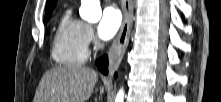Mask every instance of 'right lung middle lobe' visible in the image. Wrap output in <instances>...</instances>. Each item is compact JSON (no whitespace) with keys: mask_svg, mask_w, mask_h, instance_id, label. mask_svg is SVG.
Instances as JSON below:
<instances>
[{"mask_svg":"<svg viewBox=\"0 0 221 102\" xmlns=\"http://www.w3.org/2000/svg\"><path fill=\"white\" fill-rule=\"evenodd\" d=\"M49 16H50V13H46V19H45L44 23H46V22H47V20H48Z\"/></svg>","mask_w":221,"mask_h":102,"instance_id":"right-lung-middle-lobe-1","label":"right lung middle lobe"}]
</instances>
